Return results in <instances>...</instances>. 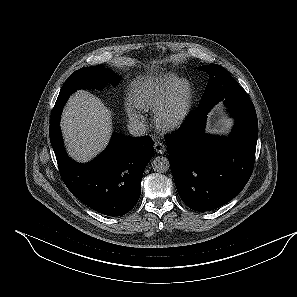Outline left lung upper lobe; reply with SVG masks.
<instances>
[{
    "label": "left lung upper lobe",
    "instance_id": "5c2ea615",
    "mask_svg": "<svg viewBox=\"0 0 297 297\" xmlns=\"http://www.w3.org/2000/svg\"><path fill=\"white\" fill-rule=\"evenodd\" d=\"M200 70L209 74V81L197 110L225 98L249 97L237 81L220 65H205Z\"/></svg>",
    "mask_w": 297,
    "mask_h": 297
}]
</instances>
